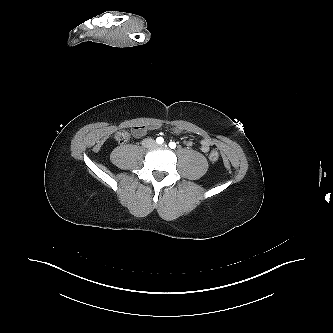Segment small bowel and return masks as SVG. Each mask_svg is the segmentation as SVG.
I'll return each instance as SVG.
<instances>
[{
  "label": "small bowel",
  "mask_w": 333,
  "mask_h": 333,
  "mask_svg": "<svg viewBox=\"0 0 333 333\" xmlns=\"http://www.w3.org/2000/svg\"><path fill=\"white\" fill-rule=\"evenodd\" d=\"M180 131H181V129H179V128L175 129V132H180ZM131 132L134 137L140 138V137H143L147 133V128L145 126H134L131 129ZM211 145H212V141L210 138H207V137L203 138L200 141L201 152L207 153L210 150Z\"/></svg>",
  "instance_id": "c3829d8e"
}]
</instances>
